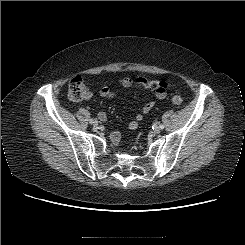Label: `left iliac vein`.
<instances>
[{
	"label": "left iliac vein",
	"instance_id": "1",
	"mask_svg": "<svg viewBox=\"0 0 245 245\" xmlns=\"http://www.w3.org/2000/svg\"><path fill=\"white\" fill-rule=\"evenodd\" d=\"M161 132V128L159 126H156L153 130L154 134H159Z\"/></svg>",
	"mask_w": 245,
	"mask_h": 245
}]
</instances>
